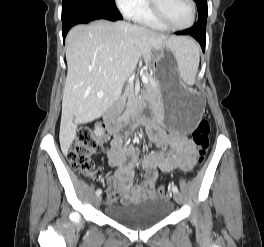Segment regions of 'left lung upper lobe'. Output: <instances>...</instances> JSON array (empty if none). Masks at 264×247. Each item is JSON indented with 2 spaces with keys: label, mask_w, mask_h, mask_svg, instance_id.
Segmentation results:
<instances>
[{
  "label": "left lung upper lobe",
  "mask_w": 264,
  "mask_h": 247,
  "mask_svg": "<svg viewBox=\"0 0 264 247\" xmlns=\"http://www.w3.org/2000/svg\"><path fill=\"white\" fill-rule=\"evenodd\" d=\"M199 13L198 21H206L208 16L207 0H194Z\"/></svg>",
  "instance_id": "left-lung-upper-lobe-1"
}]
</instances>
